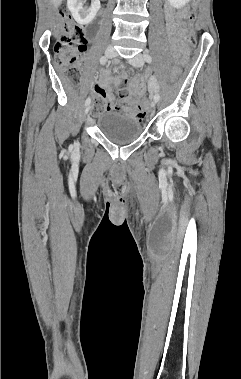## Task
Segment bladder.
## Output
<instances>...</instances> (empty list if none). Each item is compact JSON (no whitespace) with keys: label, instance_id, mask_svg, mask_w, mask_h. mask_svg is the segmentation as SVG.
Listing matches in <instances>:
<instances>
[{"label":"bladder","instance_id":"obj_1","mask_svg":"<svg viewBox=\"0 0 241 379\" xmlns=\"http://www.w3.org/2000/svg\"><path fill=\"white\" fill-rule=\"evenodd\" d=\"M97 127L101 134L115 144H128L142 133L141 121L118 111H107L98 116Z\"/></svg>","mask_w":241,"mask_h":379}]
</instances>
